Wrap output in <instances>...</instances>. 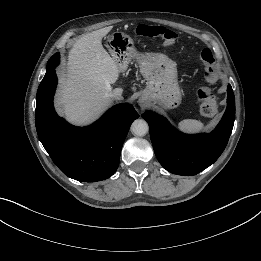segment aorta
<instances>
[{"label": "aorta", "instance_id": "obj_1", "mask_svg": "<svg viewBox=\"0 0 261 261\" xmlns=\"http://www.w3.org/2000/svg\"><path fill=\"white\" fill-rule=\"evenodd\" d=\"M149 130L148 123L143 119L135 120L131 125V131L137 136H144Z\"/></svg>", "mask_w": 261, "mask_h": 261}]
</instances>
